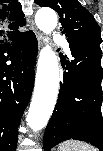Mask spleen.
I'll use <instances>...</instances> for the list:
<instances>
[{"instance_id": "3e777b00", "label": "spleen", "mask_w": 103, "mask_h": 151, "mask_svg": "<svg viewBox=\"0 0 103 151\" xmlns=\"http://www.w3.org/2000/svg\"><path fill=\"white\" fill-rule=\"evenodd\" d=\"M57 151H97L91 145L78 140H68L61 143Z\"/></svg>"}]
</instances>
